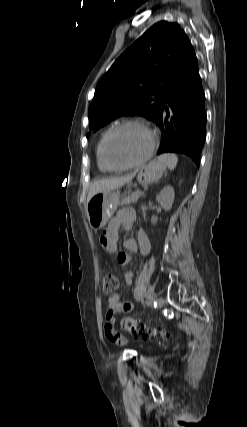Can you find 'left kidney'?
<instances>
[{"label":"left kidney","mask_w":247,"mask_h":427,"mask_svg":"<svg viewBox=\"0 0 247 427\" xmlns=\"http://www.w3.org/2000/svg\"><path fill=\"white\" fill-rule=\"evenodd\" d=\"M174 189L171 185L165 186L156 196V201L162 206L165 211L172 208L174 201Z\"/></svg>","instance_id":"obj_1"}]
</instances>
